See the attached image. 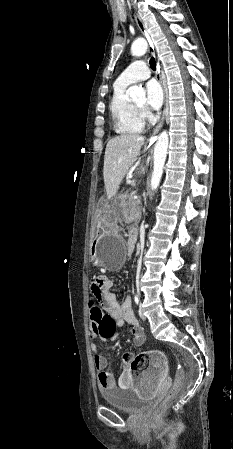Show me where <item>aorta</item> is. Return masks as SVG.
<instances>
[{
    "label": "aorta",
    "instance_id": "obj_1",
    "mask_svg": "<svg viewBox=\"0 0 233 449\" xmlns=\"http://www.w3.org/2000/svg\"><path fill=\"white\" fill-rule=\"evenodd\" d=\"M148 48L147 42L143 38H139L133 42L131 46V53L133 56H142L146 53ZM131 98L144 97L145 91L142 87L134 85L128 89ZM169 143V136L167 131H163L155 144L154 148V166L151 176V188L156 190L160 184L163 168L166 160L167 149Z\"/></svg>",
    "mask_w": 233,
    "mask_h": 449
}]
</instances>
